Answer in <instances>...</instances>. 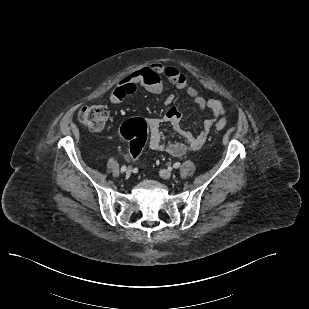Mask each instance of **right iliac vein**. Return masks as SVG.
Listing matches in <instances>:
<instances>
[{"mask_svg":"<svg viewBox=\"0 0 309 309\" xmlns=\"http://www.w3.org/2000/svg\"><path fill=\"white\" fill-rule=\"evenodd\" d=\"M132 174V168L128 167L126 170V176L129 177Z\"/></svg>","mask_w":309,"mask_h":309,"instance_id":"63e3f726","label":"right iliac vein"}]
</instances>
